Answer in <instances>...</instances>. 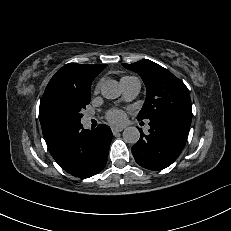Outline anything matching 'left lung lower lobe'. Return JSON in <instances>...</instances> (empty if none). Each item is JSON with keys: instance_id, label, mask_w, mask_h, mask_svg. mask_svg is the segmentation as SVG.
<instances>
[{"instance_id": "left-lung-lower-lobe-1", "label": "left lung lower lobe", "mask_w": 231, "mask_h": 231, "mask_svg": "<svg viewBox=\"0 0 231 231\" xmlns=\"http://www.w3.org/2000/svg\"><path fill=\"white\" fill-rule=\"evenodd\" d=\"M148 134L140 129V139L132 147L136 162L149 170H162L182 152L191 120L174 115H157L150 119Z\"/></svg>"}]
</instances>
